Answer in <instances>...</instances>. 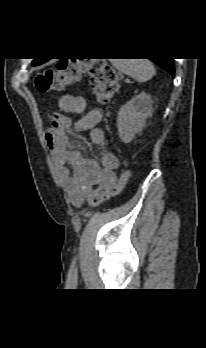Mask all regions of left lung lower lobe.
Here are the masks:
<instances>
[{"label": "left lung lower lobe", "mask_w": 206, "mask_h": 348, "mask_svg": "<svg viewBox=\"0 0 206 348\" xmlns=\"http://www.w3.org/2000/svg\"><path fill=\"white\" fill-rule=\"evenodd\" d=\"M150 60L162 67L164 70L168 71L174 77L175 69L173 64V58H157Z\"/></svg>", "instance_id": "left-lung-lower-lobe-1"}]
</instances>
